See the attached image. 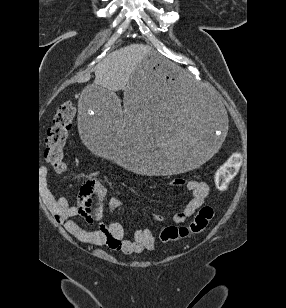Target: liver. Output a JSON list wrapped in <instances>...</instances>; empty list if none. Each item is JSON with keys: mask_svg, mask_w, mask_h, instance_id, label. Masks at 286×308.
Returning a JSON list of instances; mask_svg holds the SVG:
<instances>
[{"mask_svg": "<svg viewBox=\"0 0 286 308\" xmlns=\"http://www.w3.org/2000/svg\"><path fill=\"white\" fill-rule=\"evenodd\" d=\"M152 48L143 44H131L107 55L95 66V85H99L110 92L125 88L137 64ZM90 74L83 80L88 81Z\"/></svg>", "mask_w": 286, "mask_h": 308, "instance_id": "obj_1", "label": "liver"}]
</instances>
